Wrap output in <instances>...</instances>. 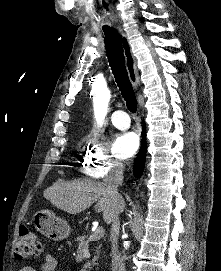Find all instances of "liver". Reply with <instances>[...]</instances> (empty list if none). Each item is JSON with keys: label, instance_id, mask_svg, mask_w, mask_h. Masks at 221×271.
Wrapping results in <instances>:
<instances>
[{"label": "liver", "instance_id": "obj_1", "mask_svg": "<svg viewBox=\"0 0 221 271\" xmlns=\"http://www.w3.org/2000/svg\"><path fill=\"white\" fill-rule=\"evenodd\" d=\"M43 195L51 201L52 205L68 213H80L97 201L96 207L99 211H103V219L106 223H110L115 213H122L126 205L122 195L118 199H111L105 193L103 181L88 179V177L74 179V181L58 179L56 183L45 189Z\"/></svg>", "mask_w": 221, "mask_h": 271}]
</instances>
